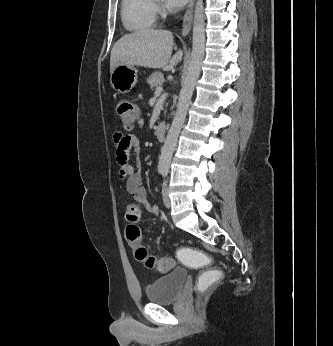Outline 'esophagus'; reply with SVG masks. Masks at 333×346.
<instances>
[{
  "instance_id": "1",
  "label": "esophagus",
  "mask_w": 333,
  "mask_h": 346,
  "mask_svg": "<svg viewBox=\"0 0 333 346\" xmlns=\"http://www.w3.org/2000/svg\"><path fill=\"white\" fill-rule=\"evenodd\" d=\"M194 1L195 0H190L188 4V8L185 12V15L183 17V24H182V31L181 35L183 38L187 37L191 30L192 26V19H193V7H194Z\"/></svg>"
}]
</instances>
